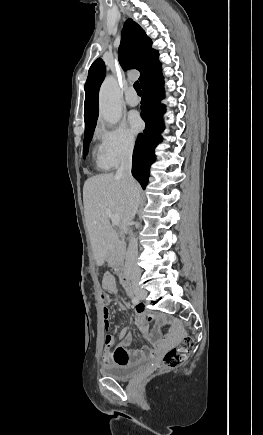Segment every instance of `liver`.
Masks as SVG:
<instances>
[{
  "label": "liver",
  "mask_w": 263,
  "mask_h": 435,
  "mask_svg": "<svg viewBox=\"0 0 263 435\" xmlns=\"http://www.w3.org/2000/svg\"><path fill=\"white\" fill-rule=\"evenodd\" d=\"M83 202L92 250L96 263L101 266L117 243V234L106 216V210L118 215L124 225L129 223L122 178L116 174L88 178L83 187Z\"/></svg>",
  "instance_id": "obj_1"
}]
</instances>
